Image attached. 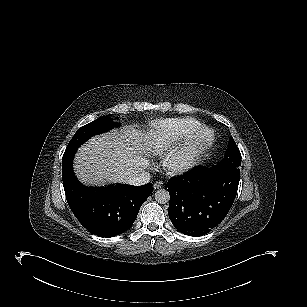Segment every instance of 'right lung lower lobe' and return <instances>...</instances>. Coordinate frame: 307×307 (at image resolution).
<instances>
[{"label":"right lung lower lobe","mask_w":307,"mask_h":307,"mask_svg":"<svg viewBox=\"0 0 307 307\" xmlns=\"http://www.w3.org/2000/svg\"><path fill=\"white\" fill-rule=\"evenodd\" d=\"M76 150L65 151L62 178L66 199L78 221L100 237H114L134 223L143 202L152 193V183L86 187L75 177L72 161Z\"/></svg>","instance_id":"98d812e1"}]
</instances>
